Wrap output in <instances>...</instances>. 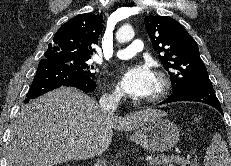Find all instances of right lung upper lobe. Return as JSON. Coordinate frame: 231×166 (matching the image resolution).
I'll return each instance as SVG.
<instances>
[{
    "label": "right lung upper lobe",
    "instance_id": "right-lung-upper-lobe-1",
    "mask_svg": "<svg viewBox=\"0 0 231 166\" xmlns=\"http://www.w3.org/2000/svg\"><path fill=\"white\" fill-rule=\"evenodd\" d=\"M103 17L85 13L72 18L55 33L52 43L44 54L45 59L66 56L90 58L103 31Z\"/></svg>",
    "mask_w": 231,
    "mask_h": 166
}]
</instances>
